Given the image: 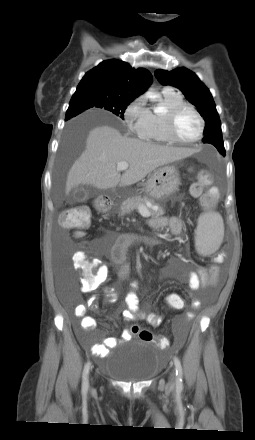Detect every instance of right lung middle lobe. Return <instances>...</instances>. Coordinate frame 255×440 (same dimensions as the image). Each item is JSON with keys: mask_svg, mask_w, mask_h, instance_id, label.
Segmentation results:
<instances>
[{"mask_svg": "<svg viewBox=\"0 0 255 440\" xmlns=\"http://www.w3.org/2000/svg\"><path fill=\"white\" fill-rule=\"evenodd\" d=\"M133 100L111 97L96 92L74 93L66 112V119L74 117L89 108H101L124 119V112Z\"/></svg>", "mask_w": 255, "mask_h": 440, "instance_id": "dd1d6c3e", "label": "right lung middle lobe"}]
</instances>
